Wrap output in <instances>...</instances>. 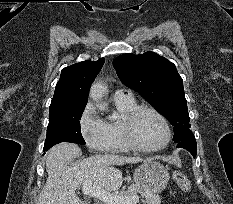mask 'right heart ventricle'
Instances as JSON below:
<instances>
[{
  "instance_id": "right-heart-ventricle-1",
  "label": "right heart ventricle",
  "mask_w": 233,
  "mask_h": 204,
  "mask_svg": "<svg viewBox=\"0 0 233 204\" xmlns=\"http://www.w3.org/2000/svg\"><path fill=\"white\" fill-rule=\"evenodd\" d=\"M113 103L116 116L104 120L105 130L107 134V145L110 151L123 152L131 148L128 146L122 128L124 116L137 105L136 100L130 97L114 96Z\"/></svg>"
}]
</instances>
